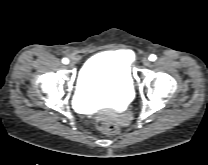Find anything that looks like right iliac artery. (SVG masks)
Wrapping results in <instances>:
<instances>
[{
  "label": "right iliac artery",
  "mask_w": 208,
  "mask_h": 165,
  "mask_svg": "<svg viewBox=\"0 0 208 165\" xmlns=\"http://www.w3.org/2000/svg\"><path fill=\"white\" fill-rule=\"evenodd\" d=\"M62 62H63L64 64H68L69 60H68L67 58H63V59H62Z\"/></svg>",
  "instance_id": "right-iliac-artery-1"
}]
</instances>
